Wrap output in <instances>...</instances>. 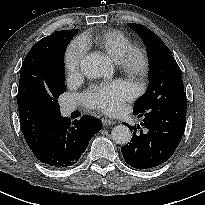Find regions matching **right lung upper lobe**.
Returning <instances> with one entry per match:
<instances>
[{
  "label": "right lung upper lobe",
  "mask_w": 205,
  "mask_h": 205,
  "mask_svg": "<svg viewBox=\"0 0 205 205\" xmlns=\"http://www.w3.org/2000/svg\"><path fill=\"white\" fill-rule=\"evenodd\" d=\"M78 29L56 31L37 42L25 57L20 72L18 88V110L24 138L31 147L42 131L60 114L47 106L51 68L59 44L72 37Z\"/></svg>",
  "instance_id": "obj_1"
}]
</instances>
